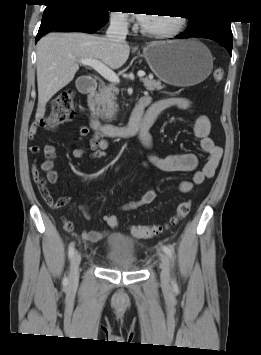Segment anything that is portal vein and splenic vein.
I'll use <instances>...</instances> for the list:
<instances>
[{
  "instance_id": "18ae733b",
  "label": "portal vein and splenic vein",
  "mask_w": 261,
  "mask_h": 355,
  "mask_svg": "<svg viewBox=\"0 0 261 355\" xmlns=\"http://www.w3.org/2000/svg\"><path fill=\"white\" fill-rule=\"evenodd\" d=\"M78 62L83 65H87L96 70L103 78L108 80L111 83H119L120 79L118 75L109 67H107L104 63L97 59H79ZM139 78H143L145 76L144 71H139L137 73Z\"/></svg>"
}]
</instances>
